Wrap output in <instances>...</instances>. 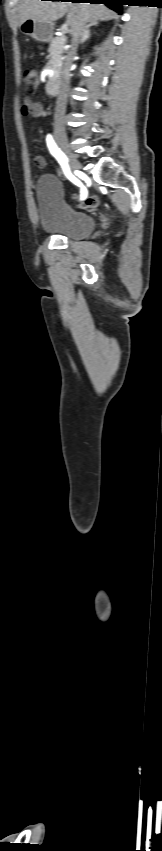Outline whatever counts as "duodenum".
<instances>
[{"label": "duodenum", "instance_id": "1", "mask_svg": "<svg viewBox=\"0 0 162 851\" xmlns=\"http://www.w3.org/2000/svg\"><path fill=\"white\" fill-rule=\"evenodd\" d=\"M59 89V81L56 78H50L47 80L45 85V91L47 95L54 96L58 93Z\"/></svg>", "mask_w": 162, "mask_h": 851}]
</instances>
